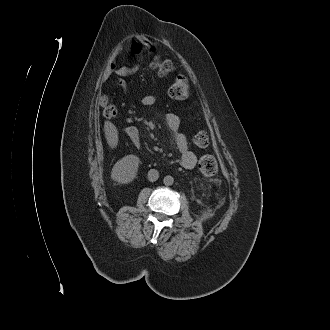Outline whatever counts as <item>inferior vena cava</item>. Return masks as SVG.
Segmentation results:
<instances>
[{
    "label": "inferior vena cava",
    "mask_w": 330,
    "mask_h": 330,
    "mask_svg": "<svg viewBox=\"0 0 330 330\" xmlns=\"http://www.w3.org/2000/svg\"><path fill=\"white\" fill-rule=\"evenodd\" d=\"M159 178V172L156 169H150L148 172V180L155 182Z\"/></svg>",
    "instance_id": "602c4592"
}]
</instances>
